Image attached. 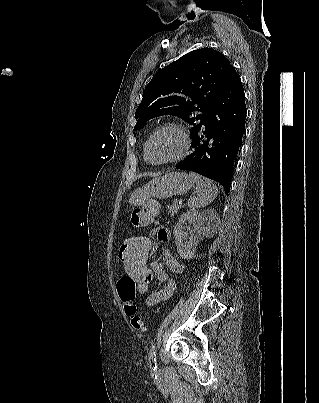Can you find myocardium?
I'll return each mask as SVG.
<instances>
[{
    "instance_id": "f54148a6",
    "label": "myocardium",
    "mask_w": 319,
    "mask_h": 403,
    "mask_svg": "<svg viewBox=\"0 0 319 403\" xmlns=\"http://www.w3.org/2000/svg\"><path fill=\"white\" fill-rule=\"evenodd\" d=\"M167 129L176 130L180 134L181 140H182V145H181L180 151L176 155H174L170 158H167L165 160H161V161L149 160L148 148H149L151 141L158 133H160L161 131L167 130ZM190 146H191V140H190V136L188 134L187 129L182 124H179L176 122H166V123L158 126L157 128H155L154 131L149 135L148 139L145 142V146H144V158L148 163L154 164V165L175 163V162H178V161L184 159L187 156V154L190 150Z\"/></svg>"
}]
</instances>
